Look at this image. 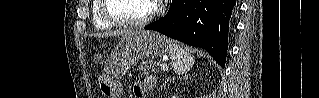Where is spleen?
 I'll return each instance as SVG.
<instances>
[{
    "label": "spleen",
    "instance_id": "obj_1",
    "mask_svg": "<svg viewBox=\"0 0 319 98\" xmlns=\"http://www.w3.org/2000/svg\"><path fill=\"white\" fill-rule=\"evenodd\" d=\"M167 50L172 60V66L175 72L183 74L192 68L194 64V58L180 45L170 42L167 46Z\"/></svg>",
    "mask_w": 319,
    "mask_h": 98
}]
</instances>
